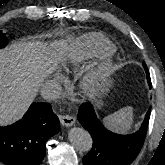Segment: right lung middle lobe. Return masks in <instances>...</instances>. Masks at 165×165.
Returning <instances> with one entry per match:
<instances>
[{"label":"right lung middle lobe","mask_w":165,"mask_h":165,"mask_svg":"<svg viewBox=\"0 0 165 165\" xmlns=\"http://www.w3.org/2000/svg\"><path fill=\"white\" fill-rule=\"evenodd\" d=\"M7 42H8V40L5 36V34L0 31V48L5 47L7 45Z\"/></svg>","instance_id":"obj_1"}]
</instances>
